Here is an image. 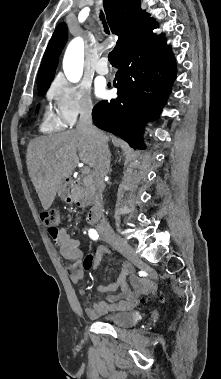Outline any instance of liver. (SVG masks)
<instances>
[{
	"label": "liver",
	"mask_w": 221,
	"mask_h": 379,
	"mask_svg": "<svg viewBox=\"0 0 221 379\" xmlns=\"http://www.w3.org/2000/svg\"><path fill=\"white\" fill-rule=\"evenodd\" d=\"M104 137L108 142L109 137ZM97 154V140L77 129L30 141L27 168L44 210L51 207L59 185L72 174L79 161L94 168Z\"/></svg>",
	"instance_id": "1"
}]
</instances>
